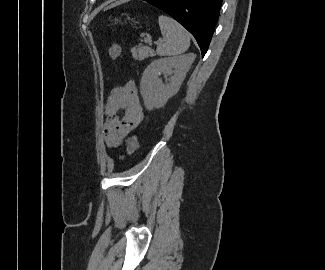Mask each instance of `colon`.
Wrapping results in <instances>:
<instances>
[{
  "mask_svg": "<svg viewBox=\"0 0 325 270\" xmlns=\"http://www.w3.org/2000/svg\"><path fill=\"white\" fill-rule=\"evenodd\" d=\"M123 56V49L120 45H112L109 49V57L117 60ZM138 147V138L136 135L131 136L127 141L126 154H132Z\"/></svg>",
  "mask_w": 325,
  "mask_h": 270,
  "instance_id": "5ec220e1",
  "label": "colon"
}]
</instances>
